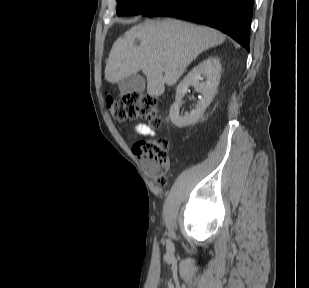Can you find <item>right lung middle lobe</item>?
<instances>
[{
  "mask_svg": "<svg viewBox=\"0 0 309 288\" xmlns=\"http://www.w3.org/2000/svg\"><path fill=\"white\" fill-rule=\"evenodd\" d=\"M162 0H117V15H137L151 9Z\"/></svg>",
  "mask_w": 309,
  "mask_h": 288,
  "instance_id": "1",
  "label": "right lung middle lobe"
}]
</instances>
